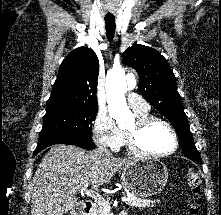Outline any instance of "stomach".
Segmentation results:
<instances>
[{"instance_id":"obj_1","label":"stomach","mask_w":221,"mask_h":215,"mask_svg":"<svg viewBox=\"0 0 221 215\" xmlns=\"http://www.w3.org/2000/svg\"><path fill=\"white\" fill-rule=\"evenodd\" d=\"M168 181L166 166L158 160L138 159L126 164L121 175L122 186L140 198L160 193Z\"/></svg>"}]
</instances>
